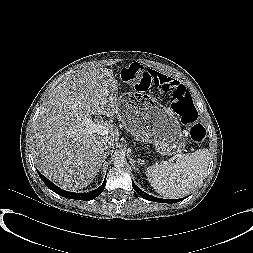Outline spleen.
Returning a JSON list of instances; mask_svg holds the SVG:
<instances>
[{
    "label": "spleen",
    "instance_id": "obj_1",
    "mask_svg": "<svg viewBox=\"0 0 253 253\" xmlns=\"http://www.w3.org/2000/svg\"><path fill=\"white\" fill-rule=\"evenodd\" d=\"M209 151L199 149L178 155L175 161H164L147 168L146 176L158 194L168 199L186 196L202 181L209 165Z\"/></svg>",
    "mask_w": 253,
    "mask_h": 253
}]
</instances>
